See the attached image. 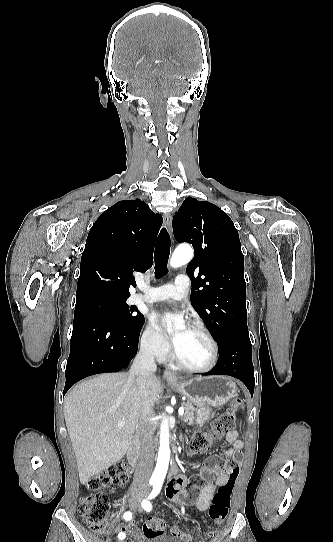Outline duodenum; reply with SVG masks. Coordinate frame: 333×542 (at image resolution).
<instances>
[{"mask_svg":"<svg viewBox=\"0 0 333 542\" xmlns=\"http://www.w3.org/2000/svg\"><path fill=\"white\" fill-rule=\"evenodd\" d=\"M140 455V441L138 438L134 439L127 448L126 457L127 461L132 467H136L139 461ZM180 472L179 466L176 462L171 465L170 476H177Z\"/></svg>","mask_w":333,"mask_h":542,"instance_id":"1","label":"duodenum"}]
</instances>
